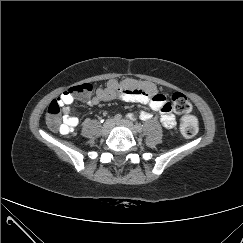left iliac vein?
I'll return each mask as SVG.
<instances>
[{"label":"left iliac vein","mask_w":243,"mask_h":243,"mask_svg":"<svg viewBox=\"0 0 243 243\" xmlns=\"http://www.w3.org/2000/svg\"><path fill=\"white\" fill-rule=\"evenodd\" d=\"M116 124L131 128L135 134L139 132L136 125H134L130 120H127V119L117 120Z\"/></svg>","instance_id":"obj_1"}]
</instances>
